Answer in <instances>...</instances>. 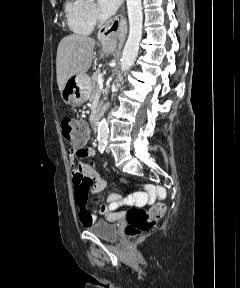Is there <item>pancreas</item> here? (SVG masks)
<instances>
[{
	"label": "pancreas",
	"mask_w": 240,
	"mask_h": 288,
	"mask_svg": "<svg viewBox=\"0 0 240 288\" xmlns=\"http://www.w3.org/2000/svg\"><path fill=\"white\" fill-rule=\"evenodd\" d=\"M101 74L100 70H96L93 75H92V84H93V89L95 92L99 91V84H98V79ZM102 104V101H100V105Z\"/></svg>",
	"instance_id": "obj_1"
}]
</instances>
